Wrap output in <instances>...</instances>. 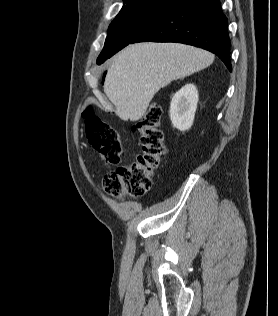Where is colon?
Segmentation results:
<instances>
[{"label":"colon","mask_w":278,"mask_h":316,"mask_svg":"<svg viewBox=\"0 0 278 316\" xmlns=\"http://www.w3.org/2000/svg\"><path fill=\"white\" fill-rule=\"evenodd\" d=\"M162 109L151 104L134 129L140 133L143 153L128 164L119 165L123 143L118 130L100 118L92 107L85 111V137L108 166H117L108 172L102 182L103 191L113 197H141L151 187L155 171L166 153L164 136L160 129Z\"/></svg>","instance_id":"obj_1"}]
</instances>
